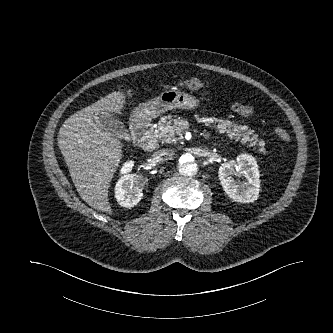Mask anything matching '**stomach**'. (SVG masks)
Masks as SVG:
<instances>
[{"instance_id": "1", "label": "stomach", "mask_w": 333, "mask_h": 333, "mask_svg": "<svg viewBox=\"0 0 333 333\" xmlns=\"http://www.w3.org/2000/svg\"><path fill=\"white\" fill-rule=\"evenodd\" d=\"M198 104V99L190 94L168 90L148 102L139 104L131 114V121L142 124L168 110L191 109Z\"/></svg>"}]
</instances>
